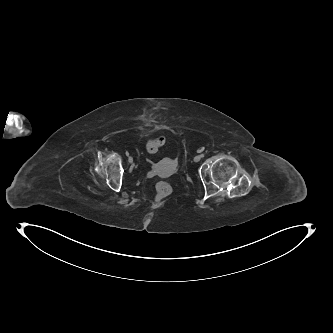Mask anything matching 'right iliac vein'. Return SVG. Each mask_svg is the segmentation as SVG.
Segmentation results:
<instances>
[{"mask_svg":"<svg viewBox=\"0 0 333 333\" xmlns=\"http://www.w3.org/2000/svg\"><path fill=\"white\" fill-rule=\"evenodd\" d=\"M128 161H129L130 164H132L133 163V157L129 156Z\"/></svg>","mask_w":333,"mask_h":333,"instance_id":"1","label":"right iliac vein"}]
</instances>
